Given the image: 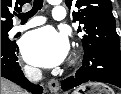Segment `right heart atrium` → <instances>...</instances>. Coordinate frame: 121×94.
Instances as JSON below:
<instances>
[{"label": "right heart atrium", "mask_w": 121, "mask_h": 94, "mask_svg": "<svg viewBox=\"0 0 121 94\" xmlns=\"http://www.w3.org/2000/svg\"><path fill=\"white\" fill-rule=\"evenodd\" d=\"M24 71L26 73H34L35 70L32 67H30V66H25L24 67Z\"/></svg>", "instance_id": "d8ad5b80"}]
</instances>
